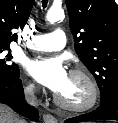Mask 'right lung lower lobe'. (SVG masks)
I'll use <instances>...</instances> for the list:
<instances>
[{"mask_svg": "<svg viewBox=\"0 0 118 123\" xmlns=\"http://www.w3.org/2000/svg\"><path fill=\"white\" fill-rule=\"evenodd\" d=\"M0 102L11 106L18 113L33 121L39 120L38 110L25 102L19 75L13 79H0Z\"/></svg>", "mask_w": 118, "mask_h": 123, "instance_id": "right-lung-lower-lobe-1", "label": "right lung lower lobe"}]
</instances>
